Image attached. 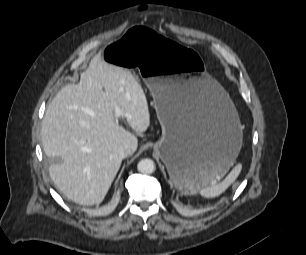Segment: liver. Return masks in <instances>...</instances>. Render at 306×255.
<instances>
[{
  "label": "liver",
  "instance_id": "obj_1",
  "mask_svg": "<svg viewBox=\"0 0 306 255\" xmlns=\"http://www.w3.org/2000/svg\"><path fill=\"white\" fill-rule=\"evenodd\" d=\"M115 106L133 131L143 133L150 126L148 102L135 76L95 56L80 82L64 86L44 115L43 149L54 161L50 177L78 204L101 203L122 163L119 147L137 149V137L119 125Z\"/></svg>",
  "mask_w": 306,
  "mask_h": 255
}]
</instances>
